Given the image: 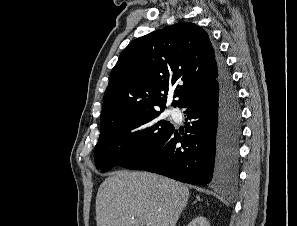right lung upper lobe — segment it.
Returning a JSON list of instances; mask_svg holds the SVG:
<instances>
[{"label":"right lung upper lobe","mask_w":297,"mask_h":226,"mask_svg":"<svg viewBox=\"0 0 297 226\" xmlns=\"http://www.w3.org/2000/svg\"><path fill=\"white\" fill-rule=\"evenodd\" d=\"M218 55L208 34L182 22L132 41L120 54L104 94L101 129L149 111L163 110L177 81L173 106L207 91L218 79Z\"/></svg>","instance_id":"obj_1"}]
</instances>
